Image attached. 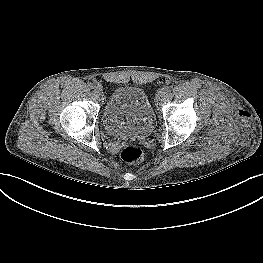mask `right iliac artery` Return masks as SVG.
<instances>
[{
	"label": "right iliac artery",
	"mask_w": 263,
	"mask_h": 263,
	"mask_svg": "<svg viewBox=\"0 0 263 263\" xmlns=\"http://www.w3.org/2000/svg\"><path fill=\"white\" fill-rule=\"evenodd\" d=\"M101 87V84L100 83H95L94 85H93V88L94 89H97V88H100Z\"/></svg>",
	"instance_id": "1"
}]
</instances>
